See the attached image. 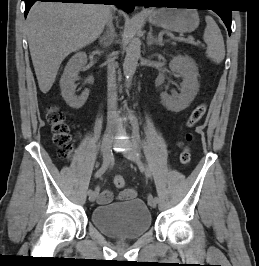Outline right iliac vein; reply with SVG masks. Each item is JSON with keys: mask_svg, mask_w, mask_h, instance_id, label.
<instances>
[{"mask_svg": "<svg viewBox=\"0 0 259 266\" xmlns=\"http://www.w3.org/2000/svg\"><path fill=\"white\" fill-rule=\"evenodd\" d=\"M114 131H115V125L110 124L107 127L106 134H105V136L103 138V142H102V149L101 150H102L103 160L110 159V139H111V136H112ZM97 195L98 194L96 191H92L89 194V200L91 202L95 201Z\"/></svg>", "mask_w": 259, "mask_h": 266, "instance_id": "63e3f726", "label": "right iliac vein"}]
</instances>
